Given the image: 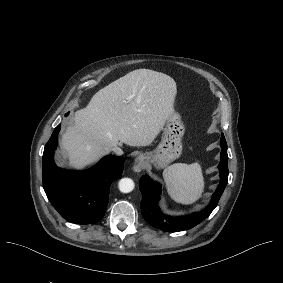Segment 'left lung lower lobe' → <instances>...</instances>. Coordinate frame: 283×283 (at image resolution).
Returning a JSON list of instances; mask_svg holds the SVG:
<instances>
[{
  "instance_id": "1",
  "label": "left lung lower lobe",
  "mask_w": 283,
  "mask_h": 283,
  "mask_svg": "<svg viewBox=\"0 0 283 283\" xmlns=\"http://www.w3.org/2000/svg\"><path fill=\"white\" fill-rule=\"evenodd\" d=\"M221 160L219 163L220 183L213 194L211 203L202 211L190 215L189 217H173L164 214L158 207L161 185L143 175L139 181V188L142 193L140 204L142 216L153 227L167 232H179L191 229L206 219L217 206L218 201L227 185L228 180V155L227 144L224 135L221 140Z\"/></svg>"
}]
</instances>
